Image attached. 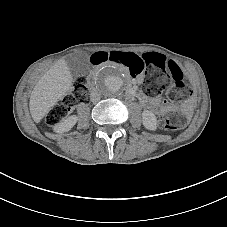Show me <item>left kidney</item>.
<instances>
[{"label":"left kidney","instance_id":"obj_1","mask_svg":"<svg viewBox=\"0 0 227 227\" xmlns=\"http://www.w3.org/2000/svg\"><path fill=\"white\" fill-rule=\"evenodd\" d=\"M143 124L148 129H155V127H156V118H155V116L151 112L145 111L143 113Z\"/></svg>","mask_w":227,"mask_h":227}]
</instances>
